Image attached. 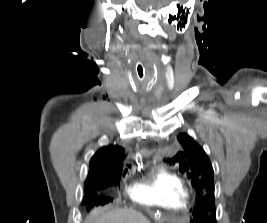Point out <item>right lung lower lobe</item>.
<instances>
[{
    "mask_svg": "<svg viewBox=\"0 0 267 223\" xmlns=\"http://www.w3.org/2000/svg\"><path fill=\"white\" fill-rule=\"evenodd\" d=\"M105 184L102 181H90L87 180L85 183V192L87 194L94 193L97 189H102L108 186H104Z\"/></svg>",
    "mask_w": 267,
    "mask_h": 223,
    "instance_id": "right-lung-lower-lobe-1",
    "label": "right lung lower lobe"
}]
</instances>
